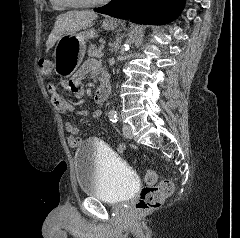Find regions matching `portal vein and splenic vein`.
<instances>
[{"label": "portal vein and splenic vein", "mask_w": 240, "mask_h": 238, "mask_svg": "<svg viewBox=\"0 0 240 238\" xmlns=\"http://www.w3.org/2000/svg\"><path fill=\"white\" fill-rule=\"evenodd\" d=\"M102 48H103V46H100L99 51H98V53H97V55H96L97 58H101V57L103 56V53H102V51H101Z\"/></svg>", "instance_id": "obj_1"}]
</instances>
